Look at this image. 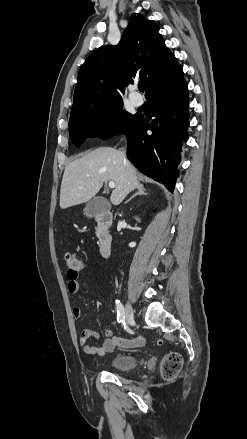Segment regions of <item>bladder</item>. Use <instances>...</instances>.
<instances>
[{
  "instance_id": "obj_1",
  "label": "bladder",
  "mask_w": 247,
  "mask_h": 439,
  "mask_svg": "<svg viewBox=\"0 0 247 439\" xmlns=\"http://www.w3.org/2000/svg\"><path fill=\"white\" fill-rule=\"evenodd\" d=\"M137 362V357L132 354H117L109 361V367L116 371H128L135 368Z\"/></svg>"
}]
</instances>
